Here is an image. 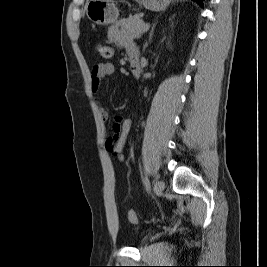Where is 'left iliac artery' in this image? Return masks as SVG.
<instances>
[{
  "instance_id": "1",
  "label": "left iliac artery",
  "mask_w": 267,
  "mask_h": 267,
  "mask_svg": "<svg viewBox=\"0 0 267 267\" xmlns=\"http://www.w3.org/2000/svg\"><path fill=\"white\" fill-rule=\"evenodd\" d=\"M143 182H144V184H145L147 190H149V189H150V181H149V179H148L147 177H145V178L143 179Z\"/></svg>"
}]
</instances>
